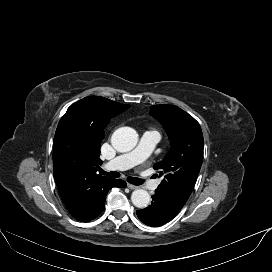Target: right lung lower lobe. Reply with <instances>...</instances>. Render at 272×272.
<instances>
[{
  "mask_svg": "<svg viewBox=\"0 0 272 272\" xmlns=\"http://www.w3.org/2000/svg\"><path fill=\"white\" fill-rule=\"evenodd\" d=\"M112 187H120V188H125L126 187V182L121 180V179H113L112 181ZM105 199H106V196H105ZM105 199L102 201L101 205L99 206L98 210L93 214V216L88 220H92L94 218H96L101 212L102 210L104 209L105 207ZM87 222V221H86Z\"/></svg>",
  "mask_w": 272,
  "mask_h": 272,
  "instance_id": "right-lung-lower-lobe-1",
  "label": "right lung lower lobe"
}]
</instances>
